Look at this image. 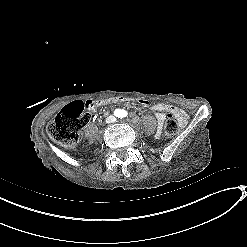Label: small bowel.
Returning a JSON list of instances; mask_svg holds the SVG:
<instances>
[{"mask_svg": "<svg viewBox=\"0 0 247 247\" xmlns=\"http://www.w3.org/2000/svg\"><path fill=\"white\" fill-rule=\"evenodd\" d=\"M148 108L155 112L158 130L162 129L167 114H173L178 119L181 125L186 122L185 112L177 107L169 106L163 103H156Z\"/></svg>", "mask_w": 247, "mask_h": 247, "instance_id": "1", "label": "small bowel"}]
</instances>
